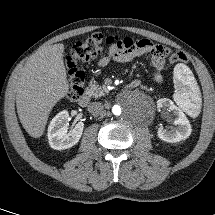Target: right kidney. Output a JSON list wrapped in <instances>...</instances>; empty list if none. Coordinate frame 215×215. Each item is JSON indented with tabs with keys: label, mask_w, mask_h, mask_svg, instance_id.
Listing matches in <instances>:
<instances>
[{
	"label": "right kidney",
	"mask_w": 215,
	"mask_h": 215,
	"mask_svg": "<svg viewBox=\"0 0 215 215\" xmlns=\"http://www.w3.org/2000/svg\"><path fill=\"white\" fill-rule=\"evenodd\" d=\"M68 119V112L61 111L51 120L48 127V140L53 149H68L77 144L81 138L84 124L79 122L68 132Z\"/></svg>",
	"instance_id": "obj_1"
}]
</instances>
